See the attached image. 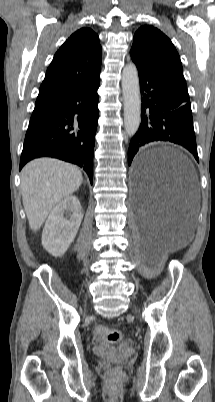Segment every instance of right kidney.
I'll return each mask as SVG.
<instances>
[{
	"mask_svg": "<svg viewBox=\"0 0 215 402\" xmlns=\"http://www.w3.org/2000/svg\"><path fill=\"white\" fill-rule=\"evenodd\" d=\"M82 218V207L76 196H68L59 202L51 211L43 229L42 245L45 250L55 257L62 256L74 241Z\"/></svg>",
	"mask_w": 215,
	"mask_h": 402,
	"instance_id": "ca27d5eb",
	"label": "right kidney"
}]
</instances>
